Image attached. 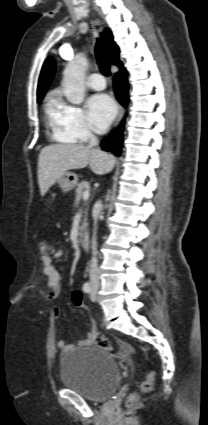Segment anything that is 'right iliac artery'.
<instances>
[{
	"label": "right iliac artery",
	"mask_w": 208,
	"mask_h": 425,
	"mask_svg": "<svg viewBox=\"0 0 208 425\" xmlns=\"http://www.w3.org/2000/svg\"><path fill=\"white\" fill-rule=\"evenodd\" d=\"M83 290H84V292H86V293H89V292H90L91 287H90V284H89L88 282L84 283V285H83Z\"/></svg>",
	"instance_id": "right-iliac-artery-1"
}]
</instances>
